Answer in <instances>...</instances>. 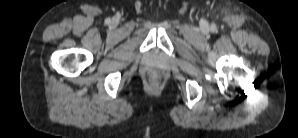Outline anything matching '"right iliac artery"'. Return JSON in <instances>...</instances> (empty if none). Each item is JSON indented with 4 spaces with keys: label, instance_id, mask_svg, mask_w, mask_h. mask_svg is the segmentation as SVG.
<instances>
[{
    "label": "right iliac artery",
    "instance_id": "right-iliac-artery-1",
    "mask_svg": "<svg viewBox=\"0 0 298 138\" xmlns=\"http://www.w3.org/2000/svg\"><path fill=\"white\" fill-rule=\"evenodd\" d=\"M107 24H109L110 23V19L108 18V19H106V21H105Z\"/></svg>",
    "mask_w": 298,
    "mask_h": 138
}]
</instances>
